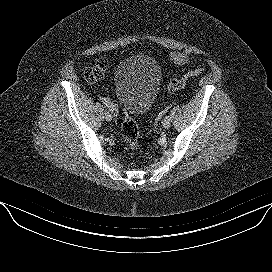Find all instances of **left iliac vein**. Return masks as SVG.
<instances>
[{
    "mask_svg": "<svg viewBox=\"0 0 272 272\" xmlns=\"http://www.w3.org/2000/svg\"><path fill=\"white\" fill-rule=\"evenodd\" d=\"M162 125L164 128H169L171 126V122H170V119H164L163 122H162Z\"/></svg>",
    "mask_w": 272,
    "mask_h": 272,
    "instance_id": "1",
    "label": "left iliac vein"
}]
</instances>
